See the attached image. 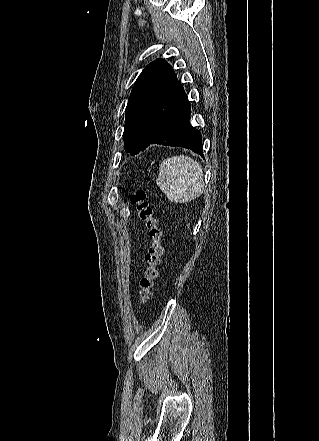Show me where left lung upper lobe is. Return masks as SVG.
I'll list each match as a JSON object with an SVG mask.
<instances>
[{
	"mask_svg": "<svg viewBox=\"0 0 319 441\" xmlns=\"http://www.w3.org/2000/svg\"><path fill=\"white\" fill-rule=\"evenodd\" d=\"M186 94L171 66L162 58L137 78L125 110L124 147L132 155L145 150L158 128L182 104Z\"/></svg>",
	"mask_w": 319,
	"mask_h": 441,
	"instance_id": "obj_1",
	"label": "left lung upper lobe"
}]
</instances>
